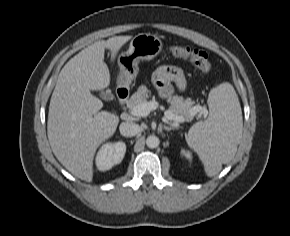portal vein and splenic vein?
Returning <instances> with one entry per match:
<instances>
[{
  "instance_id": "18ae733b",
  "label": "portal vein and splenic vein",
  "mask_w": 290,
  "mask_h": 236,
  "mask_svg": "<svg viewBox=\"0 0 290 236\" xmlns=\"http://www.w3.org/2000/svg\"><path fill=\"white\" fill-rule=\"evenodd\" d=\"M158 107V102L156 101H150L145 102L137 105L132 110H130V114L136 117H146L150 114L152 110H155ZM195 112H199L200 110L204 115H207V110L203 107L196 106L193 109ZM164 116L168 120H173L174 125H177L179 123H183L185 121V118L183 116H177L173 114L170 110H166L164 112Z\"/></svg>"
}]
</instances>
